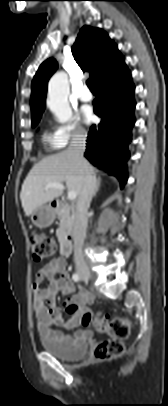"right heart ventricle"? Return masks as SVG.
I'll list each match as a JSON object with an SVG mask.
<instances>
[{
    "label": "right heart ventricle",
    "instance_id": "obj_1",
    "mask_svg": "<svg viewBox=\"0 0 168 406\" xmlns=\"http://www.w3.org/2000/svg\"><path fill=\"white\" fill-rule=\"evenodd\" d=\"M43 141L52 149L61 148V146L57 143L54 134L50 133L49 131H45L43 133Z\"/></svg>",
    "mask_w": 168,
    "mask_h": 406
}]
</instances>
